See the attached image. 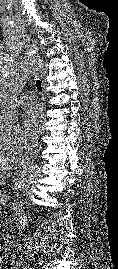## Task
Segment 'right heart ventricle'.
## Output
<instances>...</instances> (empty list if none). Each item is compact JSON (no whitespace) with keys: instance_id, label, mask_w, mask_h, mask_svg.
Segmentation results:
<instances>
[{"instance_id":"right-heart-ventricle-1","label":"right heart ventricle","mask_w":118,"mask_h":269,"mask_svg":"<svg viewBox=\"0 0 118 269\" xmlns=\"http://www.w3.org/2000/svg\"><path fill=\"white\" fill-rule=\"evenodd\" d=\"M1 147H4V146L0 143V148H1Z\"/></svg>"}]
</instances>
